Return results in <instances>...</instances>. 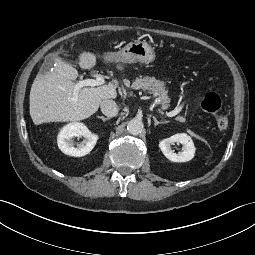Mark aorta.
I'll use <instances>...</instances> for the list:
<instances>
[{
    "label": "aorta",
    "instance_id": "obj_1",
    "mask_svg": "<svg viewBox=\"0 0 255 255\" xmlns=\"http://www.w3.org/2000/svg\"><path fill=\"white\" fill-rule=\"evenodd\" d=\"M144 129V124L139 119H132L127 124V130L132 135L140 134Z\"/></svg>",
    "mask_w": 255,
    "mask_h": 255
}]
</instances>
